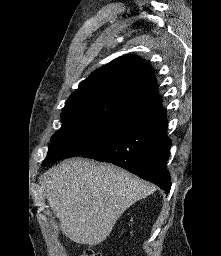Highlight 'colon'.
I'll list each match as a JSON object with an SVG mask.
<instances>
[{
  "label": "colon",
  "instance_id": "5ec220e1",
  "mask_svg": "<svg viewBox=\"0 0 221 256\" xmlns=\"http://www.w3.org/2000/svg\"><path fill=\"white\" fill-rule=\"evenodd\" d=\"M81 256H101L100 254L94 253L92 250H87Z\"/></svg>",
  "mask_w": 221,
  "mask_h": 256
}]
</instances>
